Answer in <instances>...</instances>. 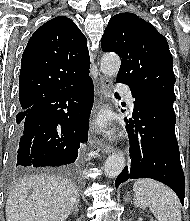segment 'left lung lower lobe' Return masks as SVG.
I'll return each instance as SVG.
<instances>
[{
	"mask_svg": "<svg viewBox=\"0 0 190 221\" xmlns=\"http://www.w3.org/2000/svg\"><path fill=\"white\" fill-rule=\"evenodd\" d=\"M115 96L120 99L117 93ZM132 96L135 99L134 120L124 119L129 136L131 165L119 174L115 186L117 188L128 179H155L172 188L184 204L185 178L174 130V101L133 91Z\"/></svg>",
	"mask_w": 190,
	"mask_h": 221,
	"instance_id": "0a47b994",
	"label": "left lung lower lobe"
}]
</instances>
